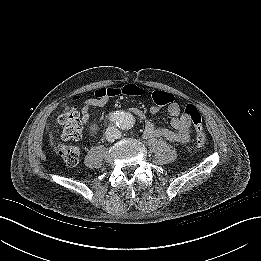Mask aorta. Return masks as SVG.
<instances>
[{"label": "aorta", "instance_id": "aorta-1", "mask_svg": "<svg viewBox=\"0 0 261 261\" xmlns=\"http://www.w3.org/2000/svg\"><path fill=\"white\" fill-rule=\"evenodd\" d=\"M134 118L129 113H123L120 120L118 121V125L123 130L130 129L133 125Z\"/></svg>", "mask_w": 261, "mask_h": 261}]
</instances>
